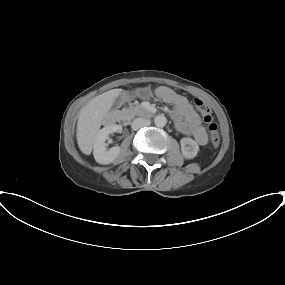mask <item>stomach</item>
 Instances as JSON below:
<instances>
[{"instance_id":"1","label":"stomach","mask_w":285,"mask_h":285,"mask_svg":"<svg viewBox=\"0 0 285 285\" xmlns=\"http://www.w3.org/2000/svg\"><path fill=\"white\" fill-rule=\"evenodd\" d=\"M135 95L140 98H147L149 96V91L147 89H139L135 92Z\"/></svg>"}]
</instances>
